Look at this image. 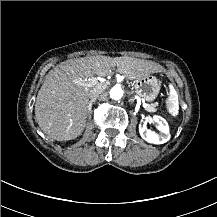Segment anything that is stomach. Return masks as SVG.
Wrapping results in <instances>:
<instances>
[{"label":"stomach","instance_id":"stomach-1","mask_svg":"<svg viewBox=\"0 0 217 217\" xmlns=\"http://www.w3.org/2000/svg\"><path fill=\"white\" fill-rule=\"evenodd\" d=\"M160 88L161 82L152 74L137 80L135 83L136 93L147 100L155 99L159 94Z\"/></svg>","mask_w":217,"mask_h":217}]
</instances>
